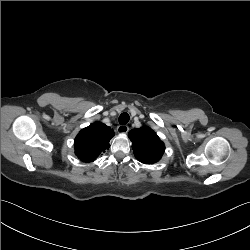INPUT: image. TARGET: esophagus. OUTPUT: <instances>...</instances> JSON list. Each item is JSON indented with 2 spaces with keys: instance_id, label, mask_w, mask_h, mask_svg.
I'll return each instance as SVG.
<instances>
[{
  "instance_id": "34e87169",
  "label": "esophagus",
  "mask_w": 250,
  "mask_h": 250,
  "mask_svg": "<svg viewBox=\"0 0 250 250\" xmlns=\"http://www.w3.org/2000/svg\"><path fill=\"white\" fill-rule=\"evenodd\" d=\"M128 130H129V127L127 125H119L117 127V132L120 134H125L128 132Z\"/></svg>"
}]
</instances>
